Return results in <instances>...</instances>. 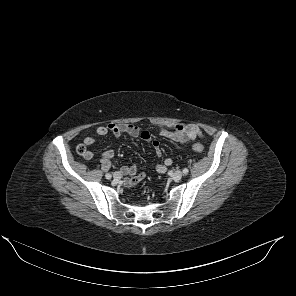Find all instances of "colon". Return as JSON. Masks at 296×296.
<instances>
[{"label": "colon", "mask_w": 296, "mask_h": 296, "mask_svg": "<svg viewBox=\"0 0 296 296\" xmlns=\"http://www.w3.org/2000/svg\"><path fill=\"white\" fill-rule=\"evenodd\" d=\"M193 149L194 151L198 152V153H202L204 151V147L203 145H201L200 143H195L193 145ZM78 152L79 154L83 155H87L88 154V150L85 148V146L80 145L78 147Z\"/></svg>", "instance_id": "colon-1"}]
</instances>
